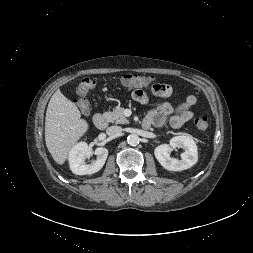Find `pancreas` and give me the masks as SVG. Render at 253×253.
<instances>
[{
	"label": "pancreas",
	"instance_id": "1",
	"mask_svg": "<svg viewBox=\"0 0 253 253\" xmlns=\"http://www.w3.org/2000/svg\"><path fill=\"white\" fill-rule=\"evenodd\" d=\"M103 117L108 121L116 124H127L128 119L124 116V108L117 106L112 112H106Z\"/></svg>",
	"mask_w": 253,
	"mask_h": 253
}]
</instances>
